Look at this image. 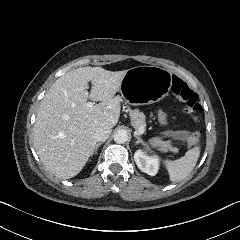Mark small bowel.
<instances>
[{"label": "small bowel", "instance_id": "1", "mask_svg": "<svg viewBox=\"0 0 240 240\" xmlns=\"http://www.w3.org/2000/svg\"><path fill=\"white\" fill-rule=\"evenodd\" d=\"M193 132L190 130H168L163 133L164 138L173 140H187L188 135Z\"/></svg>", "mask_w": 240, "mask_h": 240}]
</instances>
